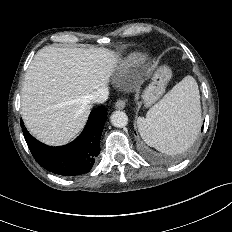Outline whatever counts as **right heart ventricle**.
<instances>
[{"label": "right heart ventricle", "mask_w": 232, "mask_h": 232, "mask_svg": "<svg viewBox=\"0 0 232 232\" xmlns=\"http://www.w3.org/2000/svg\"><path fill=\"white\" fill-rule=\"evenodd\" d=\"M144 59H145L144 54L132 53L128 55L127 57H125L124 60H122V62L119 65V70L121 72H126L132 69L133 67H136L140 63H142Z\"/></svg>", "instance_id": "1"}]
</instances>
